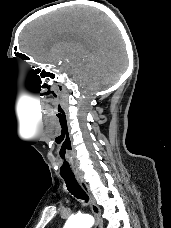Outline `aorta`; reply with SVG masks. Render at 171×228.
<instances>
[{
  "mask_svg": "<svg viewBox=\"0 0 171 228\" xmlns=\"http://www.w3.org/2000/svg\"><path fill=\"white\" fill-rule=\"evenodd\" d=\"M94 219L90 215L71 216L65 223L64 228H91Z\"/></svg>",
  "mask_w": 171,
  "mask_h": 228,
  "instance_id": "obj_1",
  "label": "aorta"
}]
</instances>
